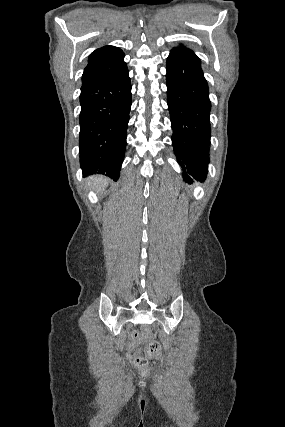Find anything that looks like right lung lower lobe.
Here are the masks:
<instances>
[{
	"mask_svg": "<svg viewBox=\"0 0 285 427\" xmlns=\"http://www.w3.org/2000/svg\"><path fill=\"white\" fill-rule=\"evenodd\" d=\"M80 166L83 175L119 178L131 107L128 70L81 88Z\"/></svg>",
	"mask_w": 285,
	"mask_h": 427,
	"instance_id": "1",
	"label": "right lung lower lobe"
}]
</instances>
